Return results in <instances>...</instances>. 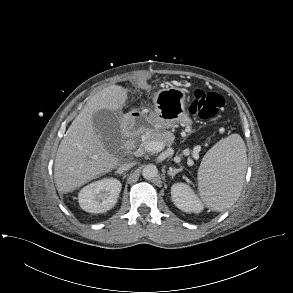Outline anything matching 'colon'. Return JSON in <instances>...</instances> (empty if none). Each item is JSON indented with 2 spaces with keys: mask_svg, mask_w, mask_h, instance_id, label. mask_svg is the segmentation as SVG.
I'll list each match as a JSON object with an SVG mask.
<instances>
[{
  "mask_svg": "<svg viewBox=\"0 0 293 293\" xmlns=\"http://www.w3.org/2000/svg\"><path fill=\"white\" fill-rule=\"evenodd\" d=\"M225 105L223 96L215 92L195 89L188 104L190 114L197 115L203 120H213Z\"/></svg>",
  "mask_w": 293,
  "mask_h": 293,
  "instance_id": "colon-1",
  "label": "colon"
}]
</instances>
